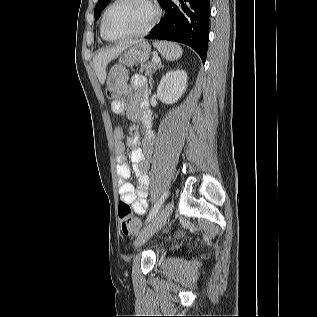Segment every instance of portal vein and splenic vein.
I'll return each instance as SVG.
<instances>
[{
    "label": "portal vein and splenic vein",
    "instance_id": "18ae733b",
    "mask_svg": "<svg viewBox=\"0 0 317 317\" xmlns=\"http://www.w3.org/2000/svg\"><path fill=\"white\" fill-rule=\"evenodd\" d=\"M152 61H153V63L158 64L160 62V58L159 57H153Z\"/></svg>",
    "mask_w": 317,
    "mask_h": 317
}]
</instances>
